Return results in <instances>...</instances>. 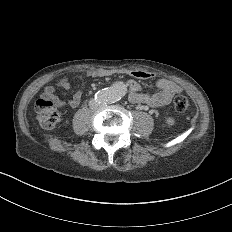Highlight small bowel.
Returning a JSON list of instances; mask_svg holds the SVG:
<instances>
[{"instance_id":"c3829d8e","label":"small bowel","mask_w":232,"mask_h":232,"mask_svg":"<svg viewBox=\"0 0 232 232\" xmlns=\"http://www.w3.org/2000/svg\"><path fill=\"white\" fill-rule=\"evenodd\" d=\"M119 75L127 77L125 85L129 90L130 102L147 101L152 106H161L168 103L171 98L182 91V87L172 79L163 78L157 81V87L160 89L157 93L144 94L141 92L138 80L149 79L153 77V72L149 69H97L89 73L90 81L93 85L100 84L103 79ZM72 87V82L66 78L59 79L54 85L45 88V93L52 101L60 106L75 107L80 102L81 93L79 90L73 93L71 99L63 101L56 94L57 88L69 90Z\"/></svg>"}]
</instances>
